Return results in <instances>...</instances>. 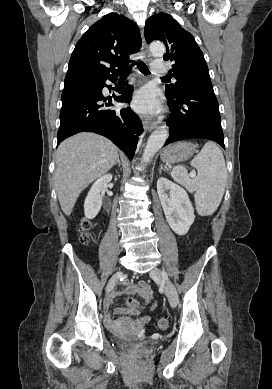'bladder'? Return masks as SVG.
Instances as JSON below:
<instances>
[{"label": "bladder", "instance_id": "bladder-1", "mask_svg": "<svg viewBox=\"0 0 272 389\" xmlns=\"http://www.w3.org/2000/svg\"><path fill=\"white\" fill-rule=\"evenodd\" d=\"M119 343L124 348H128L132 345V343L129 340H121Z\"/></svg>", "mask_w": 272, "mask_h": 389}]
</instances>
